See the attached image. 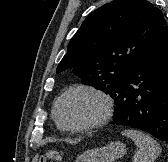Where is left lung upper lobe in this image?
Instances as JSON below:
<instances>
[{"label": "left lung upper lobe", "mask_w": 168, "mask_h": 162, "mask_svg": "<svg viewBox=\"0 0 168 162\" xmlns=\"http://www.w3.org/2000/svg\"><path fill=\"white\" fill-rule=\"evenodd\" d=\"M166 24L146 0H114L92 12L70 40L56 72L71 70L83 84L111 97Z\"/></svg>", "instance_id": "1"}]
</instances>
